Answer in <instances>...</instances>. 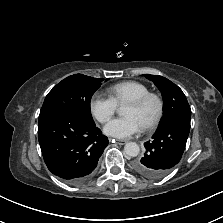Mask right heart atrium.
<instances>
[{"label":"right heart atrium","mask_w":223,"mask_h":223,"mask_svg":"<svg viewBox=\"0 0 223 223\" xmlns=\"http://www.w3.org/2000/svg\"><path fill=\"white\" fill-rule=\"evenodd\" d=\"M90 111L94 118L100 123H106L117 110V104L110 96L95 93L90 100Z\"/></svg>","instance_id":"1"}]
</instances>
